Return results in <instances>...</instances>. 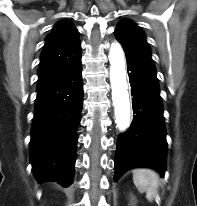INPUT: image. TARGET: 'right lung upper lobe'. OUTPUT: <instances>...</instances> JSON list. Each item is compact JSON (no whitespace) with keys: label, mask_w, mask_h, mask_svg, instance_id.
Returning a JSON list of instances; mask_svg holds the SVG:
<instances>
[{"label":"right lung upper lobe","mask_w":197,"mask_h":206,"mask_svg":"<svg viewBox=\"0 0 197 206\" xmlns=\"http://www.w3.org/2000/svg\"><path fill=\"white\" fill-rule=\"evenodd\" d=\"M80 60L81 44L77 29L68 20L56 23L41 53L37 91L66 75Z\"/></svg>","instance_id":"right-lung-upper-lobe-1"}]
</instances>
